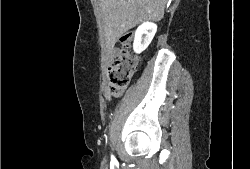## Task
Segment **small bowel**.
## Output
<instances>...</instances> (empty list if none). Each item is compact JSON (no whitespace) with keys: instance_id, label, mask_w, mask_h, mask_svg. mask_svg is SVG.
Wrapping results in <instances>:
<instances>
[{"instance_id":"small-bowel-1","label":"small bowel","mask_w":250,"mask_h":169,"mask_svg":"<svg viewBox=\"0 0 250 169\" xmlns=\"http://www.w3.org/2000/svg\"><path fill=\"white\" fill-rule=\"evenodd\" d=\"M118 54H119V49L118 48H112L110 50L111 59L115 58ZM104 96H105V98L107 100H109L110 99V92L108 90H105Z\"/></svg>"}]
</instances>
